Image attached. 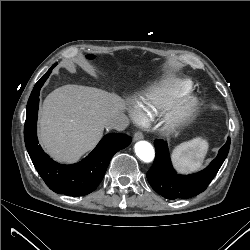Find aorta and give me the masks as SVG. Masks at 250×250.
Instances as JSON below:
<instances>
[{"label": "aorta", "instance_id": "obj_1", "mask_svg": "<svg viewBox=\"0 0 250 250\" xmlns=\"http://www.w3.org/2000/svg\"><path fill=\"white\" fill-rule=\"evenodd\" d=\"M135 153L144 162H151L155 157L153 146L147 141H139L135 144Z\"/></svg>", "mask_w": 250, "mask_h": 250}]
</instances>
